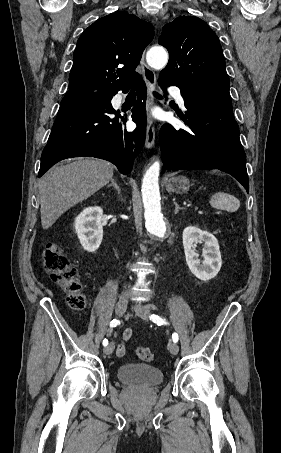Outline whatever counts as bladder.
<instances>
[{
	"label": "bladder",
	"instance_id": "31cf9c89",
	"mask_svg": "<svg viewBox=\"0 0 281 453\" xmlns=\"http://www.w3.org/2000/svg\"><path fill=\"white\" fill-rule=\"evenodd\" d=\"M120 381L139 387H154L162 383L164 376L160 369L142 364H124L118 367Z\"/></svg>",
	"mask_w": 281,
	"mask_h": 453
}]
</instances>
